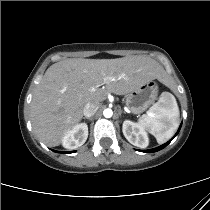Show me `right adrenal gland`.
Returning <instances> with one entry per match:
<instances>
[{
	"mask_svg": "<svg viewBox=\"0 0 210 210\" xmlns=\"http://www.w3.org/2000/svg\"><path fill=\"white\" fill-rule=\"evenodd\" d=\"M83 119H88V120L92 121V117H84Z\"/></svg>",
	"mask_w": 210,
	"mask_h": 210,
	"instance_id": "2a0ac1e0",
	"label": "right adrenal gland"
}]
</instances>
